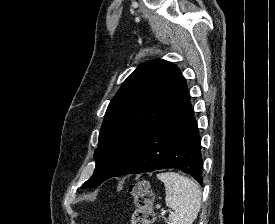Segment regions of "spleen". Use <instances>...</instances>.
Listing matches in <instances>:
<instances>
[{
  "label": "spleen",
  "mask_w": 275,
  "mask_h": 224,
  "mask_svg": "<svg viewBox=\"0 0 275 224\" xmlns=\"http://www.w3.org/2000/svg\"><path fill=\"white\" fill-rule=\"evenodd\" d=\"M165 185L166 205L173 209L168 224H192L197 218L201 206L199 186L183 175L175 172L157 174Z\"/></svg>",
  "instance_id": "spleen-1"
}]
</instances>
